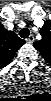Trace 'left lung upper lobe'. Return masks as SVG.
<instances>
[{
  "label": "left lung upper lobe",
  "instance_id": "obj_1",
  "mask_svg": "<svg viewBox=\"0 0 51 101\" xmlns=\"http://www.w3.org/2000/svg\"><path fill=\"white\" fill-rule=\"evenodd\" d=\"M41 40L34 42L33 46L42 54L43 58L51 63V21H46L40 30Z\"/></svg>",
  "mask_w": 51,
  "mask_h": 101
}]
</instances>
